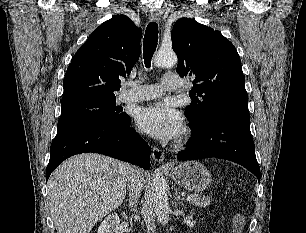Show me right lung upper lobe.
Returning a JSON list of instances; mask_svg holds the SVG:
<instances>
[{"label": "right lung upper lobe", "mask_w": 306, "mask_h": 233, "mask_svg": "<svg viewBox=\"0 0 306 233\" xmlns=\"http://www.w3.org/2000/svg\"><path fill=\"white\" fill-rule=\"evenodd\" d=\"M141 34L125 15L102 23L73 56L63 81L62 103L115 98L119 77L129 74L140 56Z\"/></svg>", "instance_id": "obj_1"}]
</instances>
